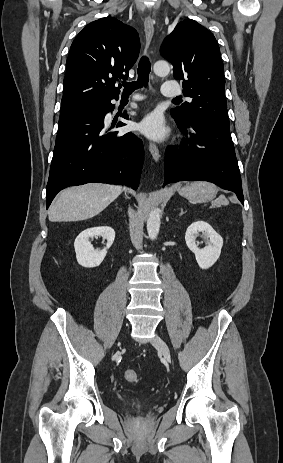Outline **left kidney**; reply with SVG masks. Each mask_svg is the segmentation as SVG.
<instances>
[{
	"mask_svg": "<svg viewBox=\"0 0 283 463\" xmlns=\"http://www.w3.org/2000/svg\"><path fill=\"white\" fill-rule=\"evenodd\" d=\"M200 233L207 240L206 246L202 249L196 244V238ZM185 241L202 269L210 268L220 257L223 238L207 222H193L186 230Z\"/></svg>",
	"mask_w": 283,
	"mask_h": 463,
	"instance_id": "5707ae66",
	"label": "left kidney"
}]
</instances>
